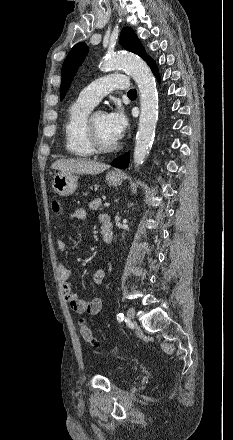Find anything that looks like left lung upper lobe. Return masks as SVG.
<instances>
[{"mask_svg": "<svg viewBox=\"0 0 233 440\" xmlns=\"http://www.w3.org/2000/svg\"><path fill=\"white\" fill-rule=\"evenodd\" d=\"M120 44L128 51H131L144 60L149 59L150 57L146 55L145 49L143 48L141 42L139 41L137 35L134 31L129 28H123L120 35ZM88 52V47L85 43L81 42L76 44L69 54L67 55L63 66H62V83L60 87V97L64 98L70 83L77 71V68L83 62L84 57Z\"/></svg>", "mask_w": 233, "mask_h": 440, "instance_id": "obj_1", "label": "left lung upper lobe"}]
</instances>
